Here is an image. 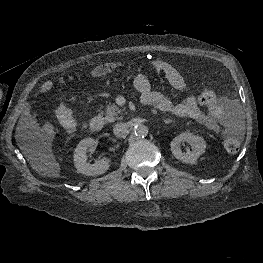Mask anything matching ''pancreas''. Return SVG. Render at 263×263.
I'll use <instances>...</instances> for the list:
<instances>
[{
	"label": "pancreas",
	"mask_w": 263,
	"mask_h": 263,
	"mask_svg": "<svg viewBox=\"0 0 263 263\" xmlns=\"http://www.w3.org/2000/svg\"><path fill=\"white\" fill-rule=\"evenodd\" d=\"M106 115L104 117V120L106 122H114L115 120H120L123 118L121 109L116 106L115 104H108L106 106Z\"/></svg>",
	"instance_id": "pancreas-1"
}]
</instances>
